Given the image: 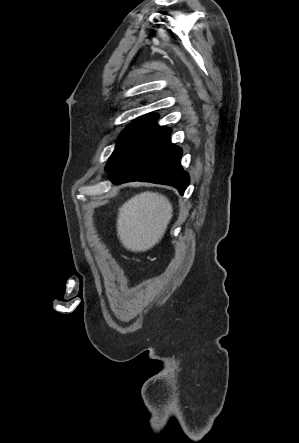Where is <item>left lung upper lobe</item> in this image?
<instances>
[{"label":"left lung upper lobe","instance_id":"1","mask_svg":"<svg viewBox=\"0 0 299 443\" xmlns=\"http://www.w3.org/2000/svg\"><path fill=\"white\" fill-rule=\"evenodd\" d=\"M156 120L157 115H145L129 124L120 134L117 146L105 169H111L125 152L155 124Z\"/></svg>","mask_w":299,"mask_h":443}]
</instances>
